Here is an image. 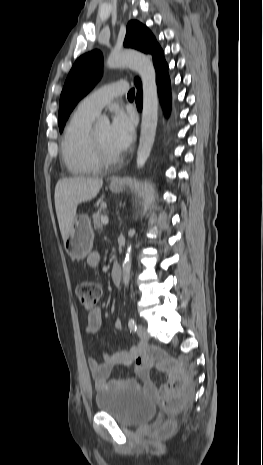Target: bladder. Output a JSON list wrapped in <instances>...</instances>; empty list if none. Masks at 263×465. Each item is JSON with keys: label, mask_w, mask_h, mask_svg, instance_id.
Listing matches in <instances>:
<instances>
[{"label": "bladder", "mask_w": 263, "mask_h": 465, "mask_svg": "<svg viewBox=\"0 0 263 465\" xmlns=\"http://www.w3.org/2000/svg\"><path fill=\"white\" fill-rule=\"evenodd\" d=\"M100 412L113 417L120 425L137 426L151 420L156 414L154 402L142 392L113 387L99 391L95 396Z\"/></svg>", "instance_id": "1"}]
</instances>
